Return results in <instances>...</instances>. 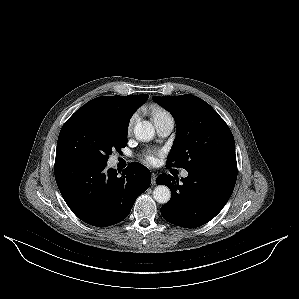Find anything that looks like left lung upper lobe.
<instances>
[{
  "mask_svg": "<svg viewBox=\"0 0 299 299\" xmlns=\"http://www.w3.org/2000/svg\"><path fill=\"white\" fill-rule=\"evenodd\" d=\"M176 121V139L166 166L190 169L205 161L236 158L233 135L219 114L193 95L153 96Z\"/></svg>",
  "mask_w": 299,
  "mask_h": 299,
  "instance_id": "5c2ea615",
  "label": "left lung upper lobe"
}]
</instances>
